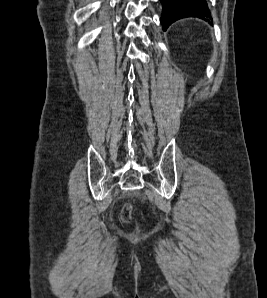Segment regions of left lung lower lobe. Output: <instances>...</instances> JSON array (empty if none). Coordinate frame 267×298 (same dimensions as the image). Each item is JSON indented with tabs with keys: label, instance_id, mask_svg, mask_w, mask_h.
<instances>
[{
	"label": "left lung lower lobe",
	"instance_id": "1",
	"mask_svg": "<svg viewBox=\"0 0 267 298\" xmlns=\"http://www.w3.org/2000/svg\"><path fill=\"white\" fill-rule=\"evenodd\" d=\"M163 5L161 23L165 31L170 23L186 17L206 20L210 16L205 0H160Z\"/></svg>",
	"mask_w": 267,
	"mask_h": 298
}]
</instances>
